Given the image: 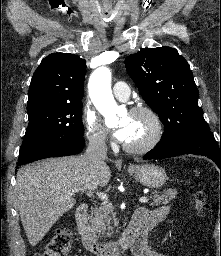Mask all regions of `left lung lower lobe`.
<instances>
[{
  "label": "left lung lower lobe",
  "instance_id": "left-lung-lower-lobe-1",
  "mask_svg": "<svg viewBox=\"0 0 221 256\" xmlns=\"http://www.w3.org/2000/svg\"><path fill=\"white\" fill-rule=\"evenodd\" d=\"M197 154L212 159L221 170V141L217 142L209 130L179 133L176 137L161 139L144 159H163L176 155Z\"/></svg>",
  "mask_w": 221,
  "mask_h": 256
}]
</instances>
